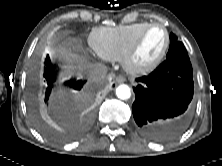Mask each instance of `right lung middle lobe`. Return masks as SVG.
I'll return each instance as SVG.
<instances>
[{
	"instance_id": "right-lung-middle-lobe-1",
	"label": "right lung middle lobe",
	"mask_w": 222,
	"mask_h": 166,
	"mask_svg": "<svg viewBox=\"0 0 222 166\" xmlns=\"http://www.w3.org/2000/svg\"><path fill=\"white\" fill-rule=\"evenodd\" d=\"M33 118L35 120L36 126L43 132L49 134L48 129L46 128L45 124L43 123L42 119L39 117L38 113L35 111L33 113Z\"/></svg>"
}]
</instances>
